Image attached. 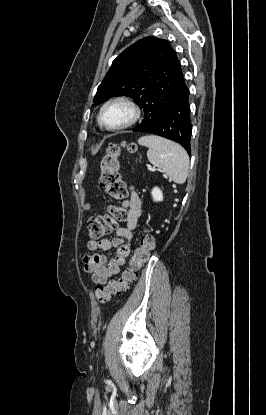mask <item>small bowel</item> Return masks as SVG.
<instances>
[{
    "instance_id": "small-bowel-1",
    "label": "small bowel",
    "mask_w": 266,
    "mask_h": 415,
    "mask_svg": "<svg viewBox=\"0 0 266 415\" xmlns=\"http://www.w3.org/2000/svg\"><path fill=\"white\" fill-rule=\"evenodd\" d=\"M124 206L127 208V215L124 223L116 229V237L92 239L87 242L89 251L116 249V254L111 259L101 253L84 256V270L91 275L92 281L96 284H105L109 278L117 275L130 253L129 242L132 239V230L136 227L142 213V203L135 191L131 192L129 198L124 202Z\"/></svg>"
}]
</instances>
